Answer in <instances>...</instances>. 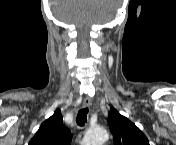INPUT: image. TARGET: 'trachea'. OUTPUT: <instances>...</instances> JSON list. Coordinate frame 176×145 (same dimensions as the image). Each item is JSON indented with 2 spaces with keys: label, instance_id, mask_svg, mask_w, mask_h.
I'll return each mask as SVG.
<instances>
[{
  "label": "trachea",
  "instance_id": "1",
  "mask_svg": "<svg viewBox=\"0 0 176 145\" xmlns=\"http://www.w3.org/2000/svg\"><path fill=\"white\" fill-rule=\"evenodd\" d=\"M88 108L79 110L76 118V122L79 126H84L87 121Z\"/></svg>",
  "mask_w": 176,
  "mask_h": 145
}]
</instances>
